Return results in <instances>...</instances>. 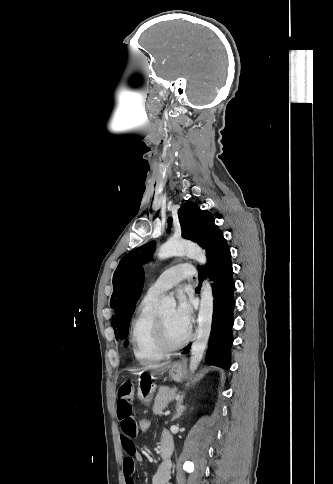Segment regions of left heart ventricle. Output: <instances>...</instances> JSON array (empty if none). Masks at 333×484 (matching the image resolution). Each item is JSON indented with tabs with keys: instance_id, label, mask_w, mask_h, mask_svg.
<instances>
[{
	"instance_id": "left-heart-ventricle-1",
	"label": "left heart ventricle",
	"mask_w": 333,
	"mask_h": 484,
	"mask_svg": "<svg viewBox=\"0 0 333 484\" xmlns=\"http://www.w3.org/2000/svg\"><path fill=\"white\" fill-rule=\"evenodd\" d=\"M164 321L167 336L171 342H178L186 335L187 331L183 330L176 322L174 309H169L160 314Z\"/></svg>"
}]
</instances>
